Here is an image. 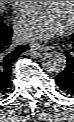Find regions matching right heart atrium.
Instances as JSON below:
<instances>
[{
  "mask_svg": "<svg viewBox=\"0 0 74 122\" xmlns=\"http://www.w3.org/2000/svg\"><path fill=\"white\" fill-rule=\"evenodd\" d=\"M13 8L15 14L24 15L30 8L32 1H8Z\"/></svg>",
  "mask_w": 74,
  "mask_h": 122,
  "instance_id": "right-heart-atrium-1",
  "label": "right heart atrium"
}]
</instances>
